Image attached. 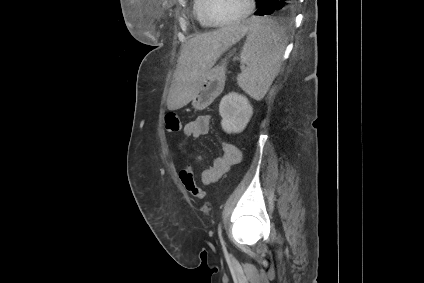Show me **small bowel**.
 Wrapping results in <instances>:
<instances>
[{
  "instance_id": "obj_1",
  "label": "small bowel",
  "mask_w": 424,
  "mask_h": 283,
  "mask_svg": "<svg viewBox=\"0 0 424 283\" xmlns=\"http://www.w3.org/2000/svg\"><path fill=\"white\" fill-rule=\"evenodd\" d=\"M211 126V117L209 115H200L194 120L188 122L183 129V132L188 138H198L200 136L208 134ZM181 151H186L185 143L179 144ZM196 159L198 162H202L203 158L201 155H197ZM241 160L240 149L232 144L231 142L224 141L222 143V155L217 157L213 163L204 168L201 172V182L204 185H210L218 181L225 173H227L232 165L239 163ZM185 168H189L193 171L191 165H187Z\"/></svg>"
}]
</instances>
